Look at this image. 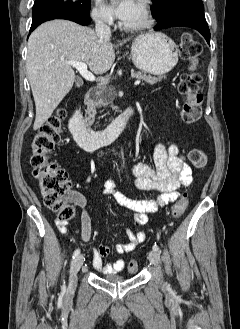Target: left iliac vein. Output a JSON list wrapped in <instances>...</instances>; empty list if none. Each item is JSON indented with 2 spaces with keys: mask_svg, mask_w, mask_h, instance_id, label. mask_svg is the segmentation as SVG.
I'll list each match as a JSON object with an SVG mask.
<instances>
[{
  "mask_svg": "<svg viewBox=\"0 0 240 329\" xmlns=\"http://www.w3.org/2000/svg\"><path fill=\"white\" fill-rule=\"evenodd\" d=\"M148 259L154 266L156 267L159 266L160 264L159 252L154 250L150 251L148 254Z\"/></svg>",
  "mask_w": 240,
  "mask_h": 329,
  "instance_id": "obj_1",
  "label": "left iliac vein"
}]
</instances>
